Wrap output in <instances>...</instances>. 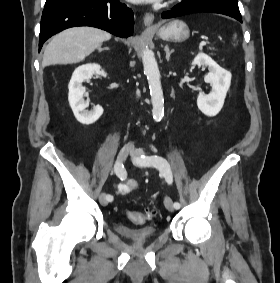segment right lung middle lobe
<instances>
[{
    "instance_id": "dd1d6c3e",
    "label": "right lung middle lobe",
    "mask_w": 280,
    "mask_h": 283,
    "mask_svg": "<svg viewBox=\"0 0 280 283\" xmlns=\"http://www.w3.org/2000/svg\"><path fill=\"white\" fill-rule=\"evenodd\" d=\"M56 1H58V0H46L45 5L50 4V3H53V2H56Z\"/></svg>"
}]
</instances>
